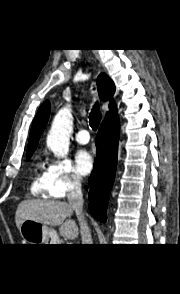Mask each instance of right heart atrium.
I'll use <instances>...</instances> for the list:
<instances>
[{"label": "right heart atrium", "mask_w": 180, "mask_h": 294, "mask_svg": "<svg viewBox=\"0 0 180 294\" xmlns=\"http://www.w3.org/2000/svg\"><path fill=\"white\" fill-rule=\"evenodd\" d=\"M45 172L47 194L52 198H63L81 187V179L67 160L49 161Z\"/></svg>", "instance_id": "right-heart-atrium-1"}]
</instances>
